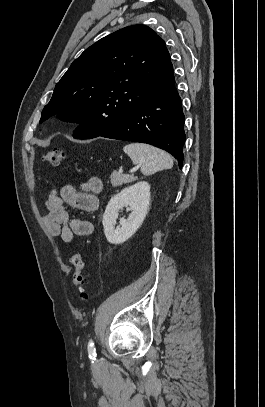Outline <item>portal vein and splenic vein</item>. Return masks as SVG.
I'll list each match as a JSON object with an SVG mask.
<instances>
[{
    "instance_id": "obj_1",
    "label": "portal vein and splenic vein",
    "mask_w": 265,
    "mask_h": 407,
    "mask_svg": "<svg viewBox=\"0 0 265 407\" xmlns=\"http://www.w3.org/2000/svg\"><path fill=\"white\" fill-rule=\"evenodd\" d=\"M137 169L138 168L136 167V168L132 169L130 172L132 173V172L136 171Z\"/></svg>"
}]
</instances>
